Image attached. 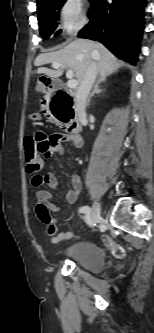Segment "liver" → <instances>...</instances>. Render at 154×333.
<instances>
[{
	"label": "liver",
	"instance_id": "1",
	"mask_svg": "<svg viewBox=\"0 0 154 333\" xmlns=\"http://www.w3.org/2000/svg\"><path fill=\"white\" fill-rule=\"evenodd\" d=\"M93 61H96L100 77L105 78L121 64L102 44L88 39H75L58 51L40 54L34 64L38 67V74H45L51 78L62 76L64 69H72L80 84L88 65ZM47 63H61L63 66L57 70L41 67Z\"/></svg>",
	"mask_w": 154,
	"mask_h": 333
}]
</instances>
